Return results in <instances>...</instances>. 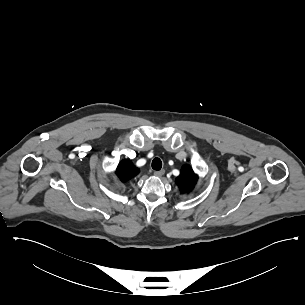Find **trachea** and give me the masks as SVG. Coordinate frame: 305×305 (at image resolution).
Here are the masks:
<instances>
[{
	"instance_id": "obj_1",
	"label": "trachea",
	"mask_w": 305,
	"mask_h": 305,
	"mask_svg": "<svg viewBox=\"0 0 305 305\" xmlns=\"http://www.w3.org/2000/svg\"><path fill=\"white\" fill-rule=\"evenodd\" d=\"M152 169L153 170H156V171H159L161 168H162V161L160 158L156 157L153 159L152 161Z\"/></svg>"
}]
</instances>
